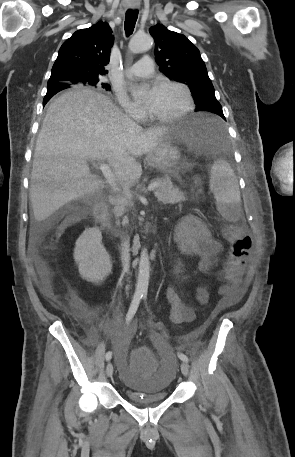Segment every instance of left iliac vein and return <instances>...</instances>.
I'll return each mask as SVG.
<instances>
[{
  "mask_svg": "<svg viewBox=\"0 0 295 457\" xmlns=\"http://www.w3.org/2000/svg\"><path fill=\"white\" fill-rule=\"evenodd\" d=\"M181 372H182V374H183L184 376H188V373H189V366H188V364H187L185 361H183V362L181 363Z\"/></svg>",
  "mask_w": 295,
  "mask_h": 457,
  "instance_id": "obj_1",
  "label": "left iliac vein"
}]
</instances>
